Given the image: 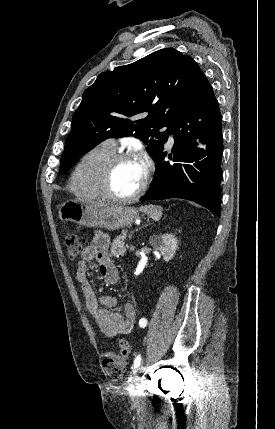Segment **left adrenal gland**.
Returning a JSON list of instances; mask_svg holds the SVG:
<instances>
[{
    "label": "left adrenal gland",
    "instance_id": "1",
    "mask_svg": "<svg viewBox=\"0 0 275 429\" xmlns=\"http://www.w3.org/2000/svg\"><path fill=\"white\" fill-rule=\"evenodd\" d=\"M150 225V223H148V224H146V225H144L143 227H147V226H149ZM134 232H132L130 235H129V238H131L132 237V234H133Z\"/></svg>",
    "mask_w": 275,
    "mask_h": 429
}]
</instances>
